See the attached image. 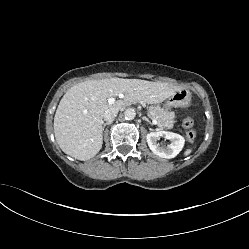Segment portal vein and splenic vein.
<instances>
[{"mask_svg":"<svg viewBox=\"0 0 249 249\" xmlns=\"http://www.w3.org/2000/svg\"><path fill=\"white\" fill-rule=\"evenodd\" d=\"M119 97H120V98H123V94H119ZM108 103H109L110 105L114 104V103H115V99H114V98H109V99H108ZM84 113H86V111H85ZM152 123H153L154 125H157L156 119L152 118Z\"/></svg>","mask_w":249,"mask_h":249,"instance_id":"obj_1","label":"portal vein and splenic vein"}]
</instances>
